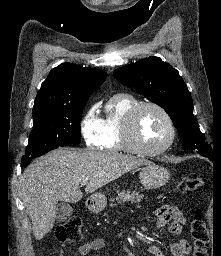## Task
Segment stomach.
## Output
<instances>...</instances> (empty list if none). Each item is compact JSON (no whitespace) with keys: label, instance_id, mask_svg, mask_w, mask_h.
I'll return each instance as SVG.
<instances>
[{"label":"stomach","instance_id":"1","mask_svg":"<svg viewBox=\"0 0 221 256\" xmlns=\"http://www.w3.org/2000/svg\"><path fill=\"white\" fill-rule=\"evenodd\" d=\"M141 184L149 189H157L164 186L169 178L170 173L167 169L155 163L145 165L140 171ZM107 205V198L105 195L96 193L88 200V208L90 211L98 213L102 211Z\"/></svg>","mask_w":221,"mask_h":256}]
</instances>
